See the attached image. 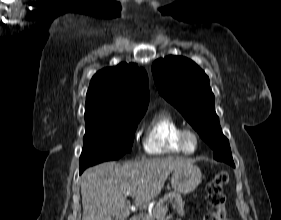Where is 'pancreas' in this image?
Instances as JSON below:
<instances>
[{
    "instance_id": "obj_1",
    "label": "pancreas",
    "mask_w": 281,
    "mask_h": 220,
    "mask_svg": "<svg viewBox=\"0 0 281 220\" xmlns=\"http://www.w3.org/2000/svg\"><path fill=\"white\" fill-rule=\"evenodd\" d=\"M167 201L172 202V206L176 209L179 215H184L185 202L183 201L182 196L179 193L170 192L168 194H165L164 197L157 202L152 215H146L142 220H161L159 213L161 212L164 204Z\"/></svg>"
}]
</instances>
